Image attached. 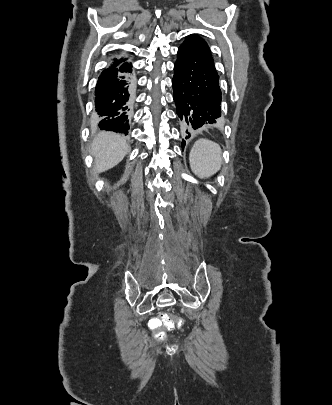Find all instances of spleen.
I'll return each mask as SVG.
<instances>
[{
  "label": "spleen",
  "instance_id": "1",
  "mask_svg": "<svg viewBox=\"0 0 332 405\" xmlns=\"http://www.w3.org/2000/svg\"><path fill=\"white\" fill-rule=\"evenodd\" d=\"M192 172L200 179L209 178L218 172L222 164V150L219 144L209 139L197 140L189 154Z\"/></svg>",
  "mask_w": 332,
  "mask_h": 405
}]
</instances>
